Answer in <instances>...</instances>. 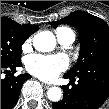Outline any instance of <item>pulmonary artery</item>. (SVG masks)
Wrapping results in <instances>:
<instances>
[{"instance_id":"pulmonary-artery-1","label":"pulmonary artery","mask_w":109,"mask_h":109,"mask_svg":"<svg viewBox=\"0 0 109 109\" xmlns=\"http://www.w3.org/2000/svg\"><path fill=\"white\" fill-rule=\"evenodd\" d=\"M58 42L63 46H70L75 41V35L72 32H64L57 35Z\"/></svg>"}]
</instances>
